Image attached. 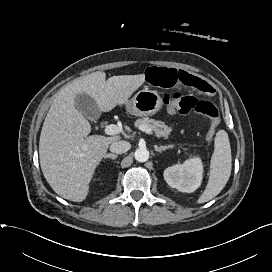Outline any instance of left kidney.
<instances>
[{
    "mask_svg": "<svg viewBox=\"0 0 272 272\" xmlns=\"http://www.w3.org/2000/svg\"><path fill=\"white\" fill-rule=\"evenodd\" d=\"M163 175L170 187L181 192L191 193L201 185L203 164L199 157H193L183 164L168 167Z\"/></svg>",
    "mask_w": 272,
    "mask_h": 272,
    "instance_id": "5707ae66",
    "label": "left kidney"
}]
</instances>
